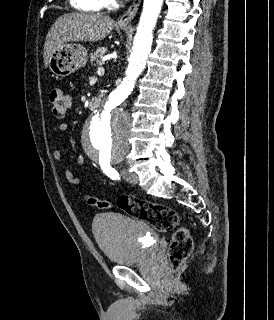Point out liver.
I'll list each match as a JSON object with an SVG mask.
<instances>
[{
    "instance_id": "obj_1",
    "label": "liver",
    "mask_w": 274,
    "mask_h": 320,
    "mask_svg": "<svg viewBox=\"0 0 274 320\" xmlns=\"http://www.w3.org/2000/svg\"><path fill=\"white\" fill-rule=\"evenodd\" d=\"M115 26L110 16H101L93 12L81 14H64L57 18L50 28L44 44V66L48 68L49 60L57 48L69 42H99L104 40Z\"/></svg>"
}]
</instances>
